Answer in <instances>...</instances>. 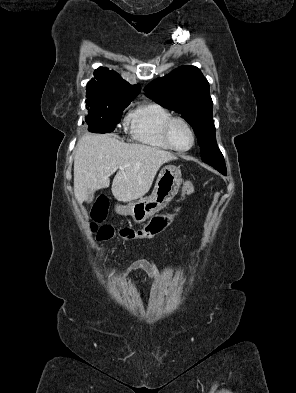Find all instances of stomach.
<instances>
[{
	"label": "stomach",
	"instance_id": "obj_1",
	"mask_svg": "<svg viewBox=\"0 0 296 393\" xmlns=\"http://www.w3.org/2000/svg\"><path fill=\"white\" fill-rule=\"evenodd\" d=\"M182 183V174L178 167L166 165L158 175L154 190L148 197L130 202L126 206H117L121 215H131L137 223H142L164 208L177 194Z\"/></svg>",
	"mask_w": 296,
	"mask_h": 393
}]
</instances>
